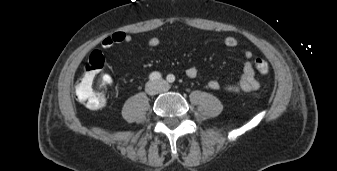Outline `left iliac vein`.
<instances>
[{"mask_svg":"<svg viewBox=\"0 0 337 171\" xmlns=\"http://www.w3.org/2000/svg\"><path fill=\"white\" fill-rule=\"evenodd\" d=\"M158 84L161 86V90H164V91L166 90V86L162 80L159 81Z\"/></svg>","mask_w":337,"mask_h":171,"instance_id":"left-iliac-vein-1","label":"left iliac vein"}]
</instances>
